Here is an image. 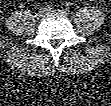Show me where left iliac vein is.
<instances>
[{
	"mask_svg": "<svg viewBox=\"0 0 111 106\" xmlns=\"http://www.w3.org/2000/svg\"><path fill=\"white\" fill-rule=\"evenodd\" d=\"M48 13H57V14H63V15H66V13H64L62 10H59V9H55V10H52V11H49Z\"/></svg>",
	"mask_w": 111,
	"mask_h": 106,
	"instance_id": "4c4485c4",
	"label": "left iliac vein"
}]
</instances>
